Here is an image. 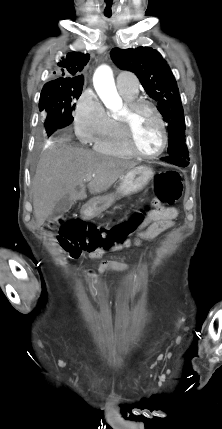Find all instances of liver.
Instances as JSON below:
<instances>
[{
	"label": "liver",
	"mask_w": 222,
	"mask_h": 429,
	"mask_svg": "<svg viewBox=\"0 0 222 429\" xmlns=\"http://www.w3.org/2000/svg\"><path fill=\"white\" fill-rule=\"evenodd\" d=\"M137 163L95 153L66 144L51 145L41 156L32 180L36 223L42 226L55 204L68 195L72 200L87 197L83 183L87 179L91 194L109 189L118 178Z\"/></svg>",
	"instance_id": "1"
}]
</instances>
